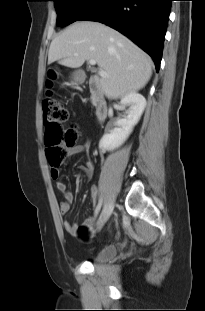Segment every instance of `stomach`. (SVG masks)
Returning <instances> with one entry per match:
<instances>
[{
	"mask_svg": "<svg viewBox=\"0 0 205 311\" xmlns=\"http://www.w3.org/2000/svg\"><path fill=\"white\" fill-rule=\"evenodd\" d=\"M81 78L78 75H74V81L75 82H81Z\"/></svg>",
	"mask_w": 205,
	"mask_h": 311,
	"instance_id": "0dacf381",
	"label": "stomach"
}]
</instances>
